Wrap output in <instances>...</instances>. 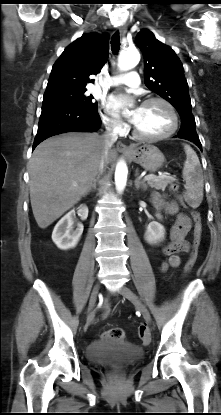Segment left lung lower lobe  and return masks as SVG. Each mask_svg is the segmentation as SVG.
<instances>
[{
  "instance_id": "left-lung-lower-lobe-1",
  "label": "left lung lower lobe",
  "mask_w": 221,
  "mask_h": 415,
  "mask_svg": "<svg viewBox=\"0 0 221 415\" xmlns=\"http://www.w3.org/2000/svg\"><path fill=\"white\" fill-rule=\"evenodd\" d=\"M175 137L191 141L194 144H196L202 150V146H201L199 137L196 133V128L193 125H183V126H181V129H180L178 135L175 136Z\"/></svg>"
}]
</instances>
